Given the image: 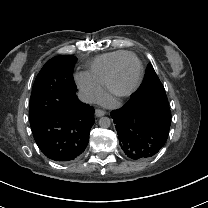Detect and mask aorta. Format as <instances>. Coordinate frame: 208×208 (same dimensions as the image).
Wrapping results in <instances>:
<instances>
[{
	"label": "aorta",
	"instance_id": "aorta-1",
	"mask_svg": "<svg viewBox=\"0 0 208 208\" xmlns=\"http://www.w3.org/2000/svg\"><path fill=\"white\" fill-rule=\"evenodd\" d=\"M111 125V120L108 117H101L99 119V126L102 128H109Z\"/></svg>",
	"mask_w": 208,
	"mask_h": 208
}]
</instances>
